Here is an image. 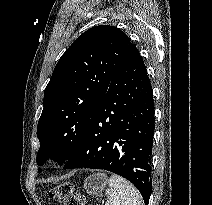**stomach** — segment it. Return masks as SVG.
<instances>
[{
  "mask_svg": "<svg viewBox=\"0 0 212 205\" xmlns=\"http://www.w3.org/2000/svg\"><path fill=\"white\" fill-rule=\"evenodd\" d=\"M107 185V176L103 173L93 174L84 181L85 190L92 196L102 194Z\"/></svg>",
  "mask_w": 212,
  "mask_h": 205,
  "instance_id": "0dacf381",
  "label": "stomach"
}]
</instances>
